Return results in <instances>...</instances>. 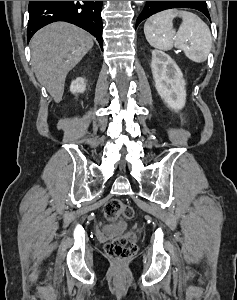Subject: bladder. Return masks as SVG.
I'll use <instances>...</instances> for the list:
<instances>
[{
  "label": "bladder",
  "instance_id": "1",
  "mask_svg": "<svg viewBox=\"0 0 237 300\" xmlns=\"http://www.w3.org/2000/svg\"><path fill=\"white\" fill-rule=\"evenodd\" d=\"M124 225L123 223H117V224H112L108 227H106V232L108 233H117L123 229Z\"/></svg>",
  "mask_w": 237,
  "mask_h": 300
}]
</instances>
